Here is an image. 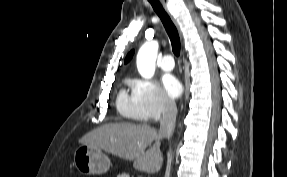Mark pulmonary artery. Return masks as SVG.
Instances as JSON below:
<instances>
[{
    "label": "pulmonary artery",
    "mask_w": 287,
    "mask_h": 177,
    "mask_svg": "<svg viewBox=\"0 0 287 177\" xmlns=\"http://www.w3.org/2000/svg\"><path fill=\"white\" fill-rule=\"evenodd\" d=\"M161 68L164 71H171L174 68V60L171 54H165L161 61Z\"/></svg>",
    "instance_id": "obj_1"
}]
</instances>
